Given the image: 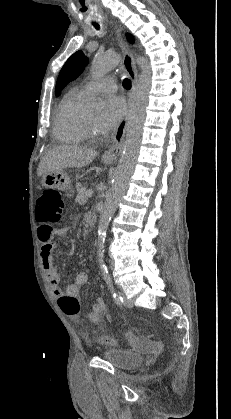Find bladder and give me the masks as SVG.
<instances>
[{
  "label": "bladder",
  "mask_w": 231,
  "mask_h": 419,
  "mask_svg": "<svg viewBox=\"0 0 231 419\" xmlns=\"http://www.w3.org/2000/svg\"><path fill=\"white\" fill-rule=\"evenodd\" d=\"M100 356L119 370H128L138 367L144 361L142 355L116 347L104 348Z\"/></svg>",
  "instance_id": "1"
}]
</instances>
